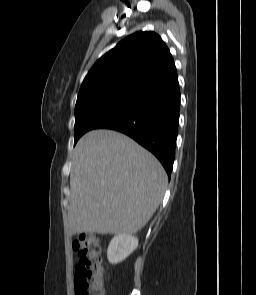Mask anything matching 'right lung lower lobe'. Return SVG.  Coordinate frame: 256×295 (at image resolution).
I'll return each instance as SVG.
<instances>
[{"label": "right lung lower lobe", "instance_id": "right-lung-lower-lobe-1", "mask_svg": "<svg viewBox=\"0 0 256 295\" xmlns=\"http://www.w3.org/2000/svg\"><path fill=\"white\" fill-rule=\"evenodd\" d=\"M180 90L175 64L136 92L119 114L99 128L122 132L151 151L171 176L178 135Z\"/></svg>", "mask_w": 256, "mask_h": 295}]
</instances>
